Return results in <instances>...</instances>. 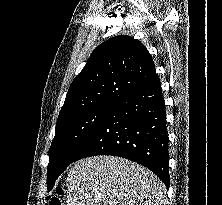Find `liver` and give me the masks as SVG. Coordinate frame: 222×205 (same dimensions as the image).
I'll return each instance as SVG.
<instances>
[{
  "mask_svg": "<svg viewBox=\"0 0 222 205\" xmlns=\"http://www.w3.org/2000/svg\"><path fill=\"white\" fill-rule=\"evenodd\" d=\"M67 205H166V188L148 169L115 156L78 161L67 178Z\"/></svg>",
  "mask_w": 222,
  "mask_h": 205,
  "instance_id": "liver-1",
  "label": "liver"
}]
</instances>
